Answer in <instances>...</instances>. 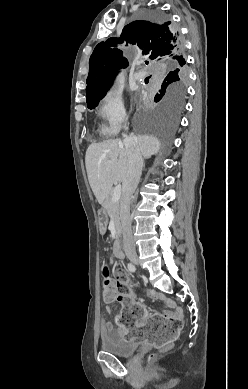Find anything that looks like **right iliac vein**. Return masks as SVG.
<instances>
[{
    "mask_svg": "<svg viewBox=\"0 0 248 389\" xmlns=\"http://www.w3.org/2000/svg\"><path fill=\"white\" fill-rule=\"evenodd\" d=\"M129 259L131 262H133L135 265L139 264V258L136 254L129 255Z\"/></svg>",
    "mask_w": 248,
    "mask_h": 389,
    "instance_id": "63e3f726",
    "label": "right iliac vein"
}]
</instances>
